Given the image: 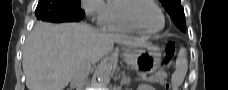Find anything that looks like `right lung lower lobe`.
<instances>
[{"label": "right lung lower lobe", "mask_w": 228, "mask_h": 90, "mask_svg": "<svg viewBox=\"0 0 228 90\" xmlns=\"http://www.w3.org/2000/svg\"><path fill=\"white\" fill-rule=\"evenodd\" d=\"M54 3L55 2H48L38 5L35 11L37 19L57 23L72 22L80 21L85 15L83 11L75 16L68 15L65 11L55 6Z\"/></svg>", "instance_id": "obj_1"}]
</instances>
